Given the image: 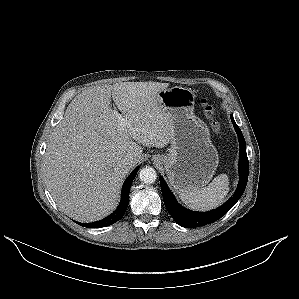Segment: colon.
<instances>
[{"label":"colon","instance_id":"1","mask_svg":"<svg viewBox=\"0 0 299 299\" xmlns=\"http://www.w3.org/2000/svg\"><path fill=\"white\" fill-rule=\"evenodd\" d=\"M202 106L206 115L212 120L213 127L216 131H221L224 129V123L218 118V107L213 105L209 99L202 100Z\"/></svg>","mask_w":299,"mask_h":299}]
</instances>
